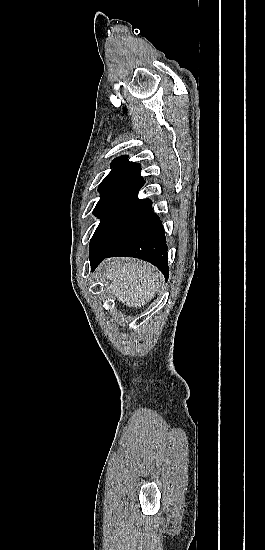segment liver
<instances>
[{"label": "liver", "mask_w": 265, "mask_h": 550, "mask_svg": "<svg viewBox=\"0 0 265 550\" xmlns=\"http://www.w3.org/2000/svg\"><path fill=\"white\" fill-rule=\"evenodd\" d=\"M103 279L117 300L132 308H141L159 288V272L146 262L132 258H114L104 262Z\"/></svg>", "instance_id": "obj_1"}]
</instances>
